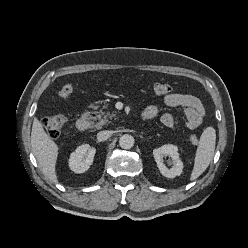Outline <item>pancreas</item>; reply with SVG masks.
<instances>
[{
	"mask_svg": "<svg viewBox=\"0 0 248 248\" xmlns=\"http://www.w3.org/2000/svg\"><path fill=\"white\" fill-rule=\"evenodd\" d=\"M103 115H104V113H103ZM113 117H116V114L115 113H113V114H107V115H104L103 117H102V119H101V121L99 122V124H98V126H97V129H100L101 128V125H104V124H106L107 122H108V119L110 118V119H112Z\"/></svg>",
	"mask_w": 248,
	"mask_h": 248,
	"instance_id": "obj_1",
	"label": "pancreas"
}]
</instances>
